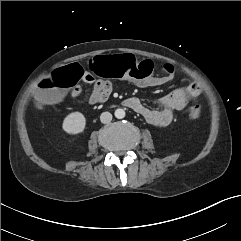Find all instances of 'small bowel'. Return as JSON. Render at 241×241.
<instances>
[{"label": "small bowel", "instance_id": "c3829d8e", "mask_svg": "<svg viewBox=\"0 0 241 241\" xmlns=\"http://www.w3.org/2000/svg\"><path fill=\"white\" fill-rule=\"evenodd\" d=\"M85 83L92 84V91L87 99L89 105H98L105 103L113 90V84L109 80L95 79L94 75L85 71V74L79 78ZM172 80V74H167L162 77H149L138 81L142 87H154L169 83ZM82 88L80 85H75L70 95L77 98L81 95ZM201 95V87L199 83L192 82L186 87L177 88L169 94L159 98L157 103L158 109L147 107L138 97H128L125 105L142 116L148 123L164 127L169 125L174 116L175 111L183 110L188 103L195 102Z\"/></svg>", "mask_w": 241, "mask_h": 241}]
</instances>
